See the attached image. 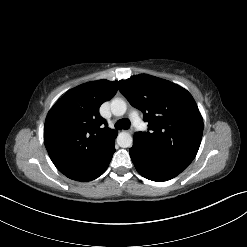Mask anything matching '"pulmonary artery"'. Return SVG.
Returning a JSON list of instances; mask_svg holds the SVG:
<instances>
[{
  "mask_svg": "<svg viewBox=\"0 0 247 247\" xmlns=\"http://www.w3.org/2000/svg\"><path fill=\"white\" fill-rule=\"evenodd\" d=\"M130 118L131 120L133 121L134 125L136 128L138 129H143L144 128V124L143 122L141 121V119L139 118L138 114L137 113H132L130 115Z\"/></svg>",
  "mask_w": 247,
  "mask_h": 247,
  "instance_id": "e3ab8cb5",
  "label": "pulmonary artery"
}]
</instances>
